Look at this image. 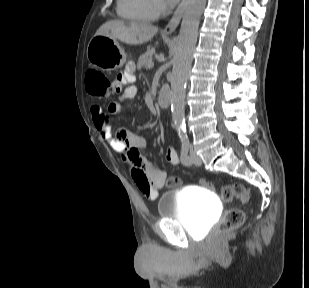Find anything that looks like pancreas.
Listing matches in <instances>:
<instances>
[{"label": "pancreas", "mask_w": 309, "mask_h": 288, "mask_svg": "<svg viewBox=\"0 0 309 288\" xmlns=\"http://www.w3.org/2000/svg\"><path fill=\"white\" fill-rule=\"evenodd\" d=\"M155 52V49H149L144 54H142L137 62V68L140 70L144 66H148L150 62H152V56Z\"/></svg>", "instance_id": "cf45deb5"}]
</instances>
